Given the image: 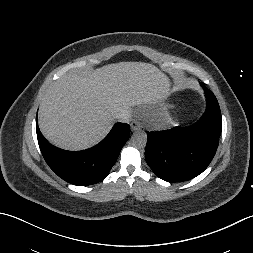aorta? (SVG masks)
<instances>
[{
	"instance_id": "obj_1",
	"label": "aorta",
	"mask_w": 253,
	"mask_h": 253,
	"mask_svg": "<svg viewBox=\"0 0 253 253\" xmlns=\"http://www.w3.org/2000/svg\"><path fill=\"white\" fill-rule=\"evenodd\" d=\"M132 144L136 148H144L147 144V134L143 131H136L132 135Z\"/></svg>"
}]
</instances>
